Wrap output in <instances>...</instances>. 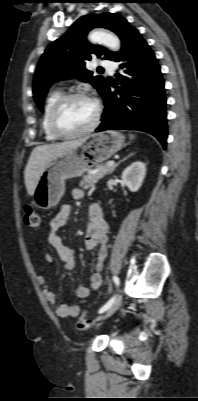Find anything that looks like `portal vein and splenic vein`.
Returning <instances> with one entry per match:
<instances>
[{
    "instance_id": "1",
    "label": "portal vein and splenic vein",
    "mask_w": 198,
    "mask_h": 401,
    "mask_svg": "<svg viewBox=\"0 0 198 401\" xmlns=\"http://www.w3.org/2000/svg\"><path fill=\"white\" fill-rule=\"evenodd\" d=\"M114 164H115L114 161H110V162L108 163V166H109V167H113Z\"/></svg>"
}]
</instances>
